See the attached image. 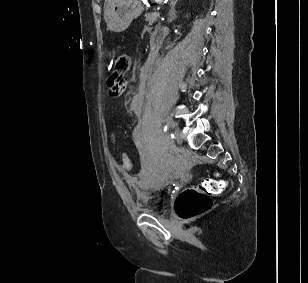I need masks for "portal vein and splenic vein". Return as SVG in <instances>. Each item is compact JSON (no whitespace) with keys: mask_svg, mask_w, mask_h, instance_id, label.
Instances as JSON below:
<instances>
[{"mask_svg":"<svg viewBox=\"0 0 308 283\" xmlns=\"http://www.w3.org/2000/svg\"><path fill=\"white\" fill-rule=\"evenodd\" d=\"M155 15H156V17L160 16L159 12H155Z\"/></svg>","mask_w":308,"mask_h":283,"instance_id":"obj_1","label":"portal vein and splenic vein"}]
</instances>
